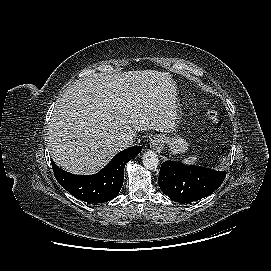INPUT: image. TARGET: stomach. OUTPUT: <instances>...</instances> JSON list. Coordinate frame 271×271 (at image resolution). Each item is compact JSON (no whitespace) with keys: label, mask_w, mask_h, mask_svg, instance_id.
Listing matches in <instances>:
<instances>
[{"label":"stomach","mask_w":271,"mask_h":271,"mask_svg":"<svg viewBox=\"0 0 271 271\" xmlns=\"http://www.w3.org/2000/svg\"><path fill=\"white\" fill-rule=\"evenodd\" d=\"M163 139L170 147V151L173 154L185 153L188 149L189 144L179 135H175L173 137H166L163 135Z\"/></svg>","instance_id":"0dacf381"}]
</instances>
